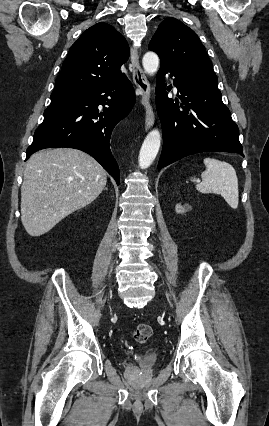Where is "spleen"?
I'll return each mask as SVG.
<instances>
[{"mask_svg": "<svg viewBox=\"0 0 269 426\" xmlns=\"http://www.w3.org/2000/svg\"><path fill=\"white\" fill-rule=\"evenodd\" d=\"M206 170L201 173L202 181L196 189L204 194H220L233 209L238 207V178L235 169L227 162L214 158L203 160ZM195 181V178L192 179Z\"/></svg>", "mask_w": 269, "mask_h": 426, "instance_id": "1", "label": "spleen"}]
</instances>
